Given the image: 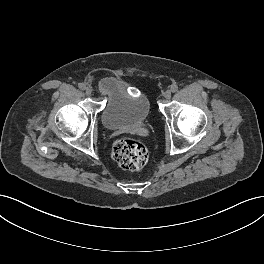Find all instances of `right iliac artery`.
<instances>
[{"label":"right iliac artery","mask_w":264,"mask_h":264,"mask_svg":"<svg viewBox=\"0 0 264 264\" xmlns=\"http://www.w3.org/2000/svg\"><path fill=\"white\" fill-rule=\"evenodd\" d=\"M79 88H80L81 90H84V89L86 88V85H85L84 83H80V84H79Z\"/></svg>","instance_id":"right-iliac-artery-1"}]
</instances>
